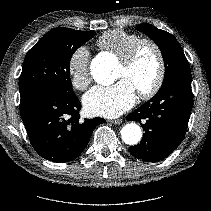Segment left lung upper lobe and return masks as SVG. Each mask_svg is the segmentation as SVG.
Instances as JSON below:
<instances>
[{"mask_svg": "<svg viewBox=\"0 0 211 211\" xmlns=\"http://www.w3.org/2000/svg\"><path fill=\"white\" fill-rule=\"evenodd\" d=\"M136 29L148 35L160 48L165 64L163 83L176 75L191 73L184 52L172 34L144 23L137 25Z\"/></svg>", "mask_w": 211, "mask_h": 211, "instance_id": "5c2ea615", "label": "left lung upper lobe"}]
</instances>
